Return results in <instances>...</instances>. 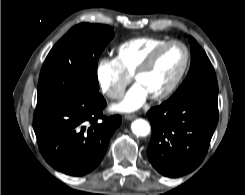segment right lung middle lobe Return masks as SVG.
Returning a JSON list of instances; mask_svg holds the SVG:
<instances>
[{
    "instance_id": "obj_1",
    "label": "right lung middle lobe",
    "mask_w": 245,
    "mask_h": 195,
    "mask_svg": "<svg viewBox=\"0 0 245 195\" xmlns=\"http://www.w3.org/2000/svg\"><path fill=\"white\" fill-rule=\"evenodd\" d=\"M114 35L107 25L81 23L71 28L43 64L37 107L99 94L98 59Z\"/></svg>"
}]
</instances>
